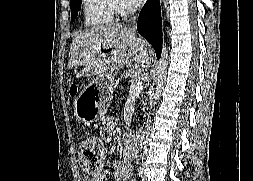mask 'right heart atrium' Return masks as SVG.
<instances>
[{"instance_id":"right-heart-atrium-1","label":"right heart atrium","mask_w":253,"mask_h":181,"mask_svg":"<svg viewBox=\"0 0 253 181\" xmlns=\"http://www.w3.org/2000/svg\"><path fill=\"white\" fill-rule=\"evenodd\" d=\"M113 2L115 14L120 17H124L134 10L129 0H113Z\"/></svg>"}]
</instances>
